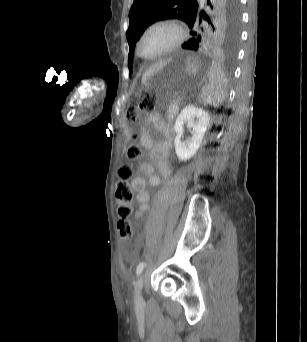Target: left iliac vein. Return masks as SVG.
Returning a JSON list of instances; mask_svg holds the SVG:
<instances>
[{
    "mask_svg": "<svg viewBox=\"0 0 307 342\" xmlns=\"http://www.w3.org/2000/svg\"><path fill=\"white\" fill-rule=\"evenodd\" d=\"M144 286V276H141L137 283H136V288H135V296H136V301L141 302L142 301V289Z\"/></svg>",
    "mask_w": 307,
    "mask_h": 342,
    "instance_id": "4c4485c4",
    "label": "left iliac vein"
}]
</instances>
